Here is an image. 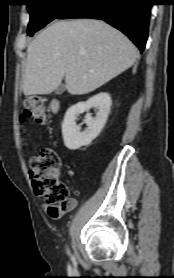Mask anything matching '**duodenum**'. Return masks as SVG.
Masks as SVG:
<instances>
[{
    "label": "duodenum",
    "instance_id": "obj_1",
    "mask_svg": "<svg viewBox=\"0 0 174 278\" xmlns=\"http://www.w3.org/2000/svg\"><path fill=\"white\" fill-rule=\"evenodd\" d=\"M58 108H59L58 102H53V104H52V110H53L54 112H56V111L58 110Z\"/></svg>",
    "mask_w": 174,
    "mask_h": 278
}]
</instances>
